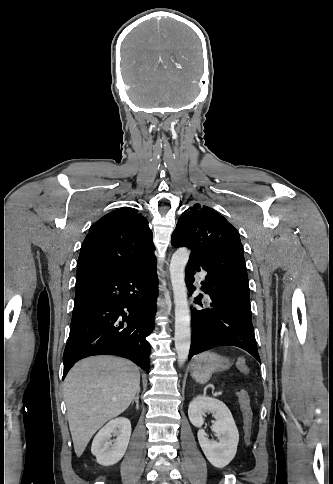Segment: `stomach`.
I'll return each instance as SVG.
<instances>
[{
	"instance_id": "stomach-1",
	"label": "stomach",
	"mask_w": 333,
	"mask_h": 484,
	"mask_svg": "<svg viewBox=\"0 0 333 484\" xmlns=\"http://www.w3.org/2000/svg\"><path fill=\"white\" fill-rule=\"evenodd\" d=\"M231 363L228 358L212 352H203L196 356L191 363V376L199 383L209 381L216 371L228 369Z\"/></svg>"
}]
</instances>
